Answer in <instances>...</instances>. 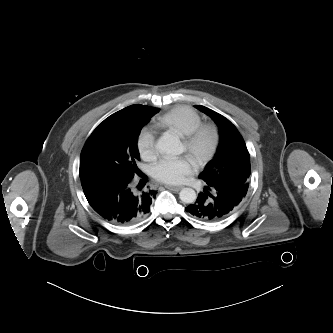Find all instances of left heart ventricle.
I'll use <instances>...</instances> for the list:
<instances>
[{
	"instance_id": "1",
	"label": "left heart ventricle",
	"mask_w": 333,
	"mask_h": 333,
	"mask_svg": "<svg viewBox=\"0 0 333 333\" xmlns=\"http://www.w3.org/2000/svg\"><path fill=\"white\" fill-rule=\"evenodd\" d=\"M182 147H183V150H186V147H185V144H184V143H183Z\"/></svg>"
}]
</instances>
